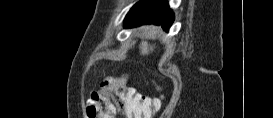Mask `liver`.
Instances as JSON below:
<instances>
[{
  "instance_id": "6515ba94",
  "label": "liver",
  "mask_w": 273,
  "mask_h": 118,
  "mask_svg": "<svg viewBox=\"0 0 273 118\" xmlns=\"http://www.w3.org/2000/svg\"><path fill=\"white\" fill-rule=\"evenodd\" d=\"M144 31V38L149 39V38H155L156 35L159 33L160 28L155 27V26H144L143 27ZM140 49H141V54L142 55H148L150 51H153L152 46H148L147 41H142L140 44ZM125 77L126 79L128 78L127 75H123L122 78ZM120 87H122V84L120 83V79H115L111 85L109 86V90H117Z\"/></svg>"
}]
</instances>
